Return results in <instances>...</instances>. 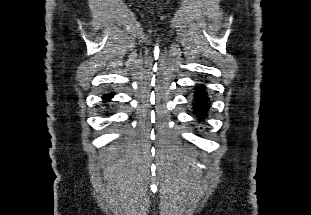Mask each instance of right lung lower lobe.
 <instances>
[{"label": "right lung lower lobe", "mask_w": 311, "mask_h": 215, "mask_svg": "<svg viewBox=\"0 0 311 215\" xmlns=\"http://www.w3.org/2000/svg\"><path fill=\"white\" fill-rule=\"evenodd\" d=\"M109 98H112V95L111 94H108L107 96H103V99H109Z\"/></svg>", "instance_id": "obj_1"}]
</instances>
